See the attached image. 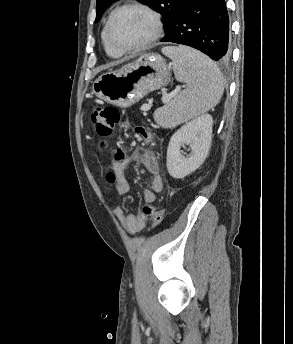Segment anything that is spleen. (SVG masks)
<instances>
[{"instance_id": "spleen-1", "label": "spleen", "mask_w": 293, "mask_h": 344, "mask_svg": "<svg viewBox=\"0 0 293 344\" xmlns=\"http://www.w3.org/2000/svg\"><path fill=\"white\" fill-rule=\"evenodd\" d=\"M162 53L171 58L176 79L187 85L154 112L157 124L174 128L216 106L224 92V78L217 65L195 49L168 46L162 48Z\"/></svg>"}]
</instances>
